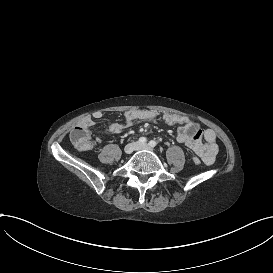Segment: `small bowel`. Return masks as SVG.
I'll list each match as a JSON object with an SVG mask.
<instances>
[{"mask_svg": "<svg viewBox=\"0 0 273 273\" xmlns=\"http://www.w3.org/2000/svg\"><path fill=\"white\" fill-rule=\"evenodd\" d=\"M159 113L153 110L136 109L126 111L122 122H114L109 125L107 131L110 133H121L126 125L137 121H153L157 119ZM103 117L99 110L91 115L85 116L81 121H88L94 125L95 120ZM162 120L168 125H179L176 138L184 143L190 150L196 153L206 165H212L218 153L216 142V133L212 129H204L194 119L181 114L165 112L162 114Z\"/></svg>", "mask_w": 273, "mask_h": 273, "instance_id": "obj_1", "label": "small bowel"}]
</instances>
